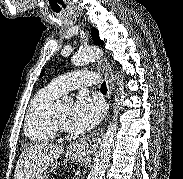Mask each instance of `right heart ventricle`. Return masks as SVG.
<instances>
[{
	"instance_id": "obj_1",
	"label": "right heart ventricle",
	"mask_w": 183,
	"mask_h": 179,
	"mask_svg": "<svg viewBox=\"0 0 183 179\" xmlns=\"http://www.w3.org/2000/svg\"><path fill=\"white\" fill-rule=\"evenodd\" d=\"M59 96L48 86L39 90L31 100L25 120V134L32 141L47 142L55 137L54 103Z\"/></svg>"
}]
</instances>
